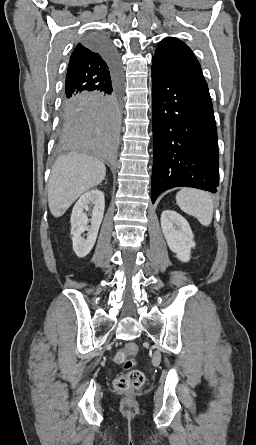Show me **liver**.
Wrapping results in <instances>:
<instances>
[{"instance_id":"obj_1","label":"liver","mask_w":256,"mask_h":445,"mask_svg":"<svg viewBox=\"0 0 256 445\" xmlns=\"http://www.w3.org/2000/svg\"><path fill=\"white\" fill-rule=\"evenodd\" d=\"M106 176L104 163L95 157L71 153L55 161L48 181V205L54 217L62 216L75 200Z\"/></svg>"}]
</instances>
